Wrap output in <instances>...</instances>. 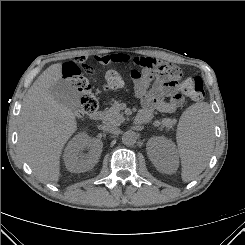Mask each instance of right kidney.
<instances>
[{
    "label": "right kidney",
    "instance_id": "ca27d5eb",
    "mask_svg": "<svg viewBox=\"0 0 245 245\" xmlns=\"http://www.w3.org/2000/svg\"><path fill=\"white\" fill-rule=\"evenodd\" d=\"M103 148V142L90 138L86 133L77 134L68 143L64 151V163L68 171L81 173L92 169L98 162ZM88 153H84V150Z\"/></svg>",
    "mask_w": 245,
    "mask_h": 245
}]
</instances>
